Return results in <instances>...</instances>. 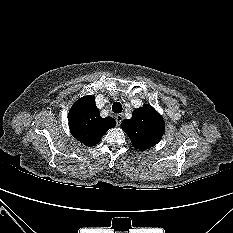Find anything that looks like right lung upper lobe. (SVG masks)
Here are the masks:
<instances>
[{
    "label": "right lung upper lobe",
    "instance_id": "cb5924a9",
    "mask_svg": "<svg viewBox=\"0 0 233 233\" xmlns=\"http://www.w3.org/2000/svg\"><path fill=\"white\" fill-rule=\"evenodd\" d=\"M69 127L72 135L86 146H95L107 130L116 124L111 117L102 118L94 96H84L71 107Z\"/></svg>",
    "mask_w": 233,
    "mask_h": 233
}]
</instances>
